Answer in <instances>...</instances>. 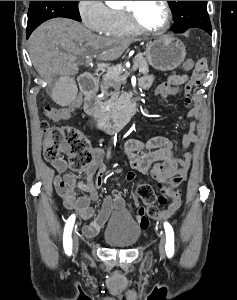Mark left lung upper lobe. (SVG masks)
Returning a JSON list of instances; mask_svg holds the SVG:
<instances>
[{"label": "left lung upper lobe", "instance_id": "5c2ea615", "mask_svg": "<svg viewBox=\"0 0 237 300\" xmlns=\"http://www.w3.org/2000/svg\"><path fill=\"white\" fill-rule=\"evenodd\" d=\"M171 5L175 33H183L189 28H200L210 35L211 23L207 12V1H168Z\"/></svg>", "mask_w": 237, "mask_h": 300}]
</instances>
